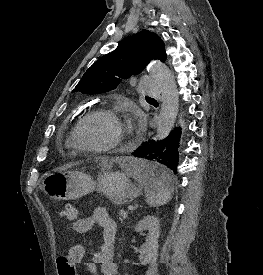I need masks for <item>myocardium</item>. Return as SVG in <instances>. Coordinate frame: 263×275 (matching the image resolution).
Segmentation results:
<instances>
[{
  "label": "myocardium",
  "instance_id": "f54148a6",
  "mask_svg": "<svg viewBox=\"0 0 263 275\" xmlns=\"http://www.w3.org/2000/svg\"><path fill=\"white\" fill-rule=\"evenodd\" d=\"M95 116H106L115 122L119 130V135L113 143L102 147H92L85 146L80 142L78 134L81 126L86 121ZM132 135V129L126 124V122L120 117V115L115 110L108 107H95L86 112L76 121L71 131L70 142L73 148L81 153L108 154L125 149L131 141Z\"/></svg>",
  "mask_w": 263,
  "mask_h": 275
}]
</instances>
